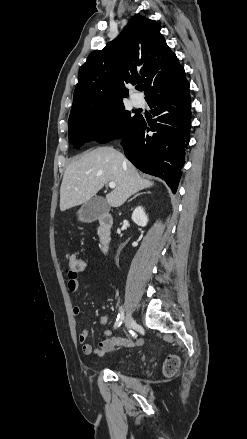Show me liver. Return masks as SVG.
Instances as JSON below:
<instances>
[{
	"mask_svg": "<svg viewBox=\"0 0 247 439\" xmlns=\"http://www.w3.org/2000/svg\"><path fill=\"white\" fill-rule=\"evenodd\" d=\"M108 182L116 184L106 195L112 207L121 206L133 194L154 185L142 178L121 152L108 146L98 147L66 167L60 188V210L86 203Z\"/></svg>",
	"mask_w": 247,
	"mask_h": 439,
	"instance_id": "liver-1",
	"label": "liver"
}]
</instances>
